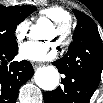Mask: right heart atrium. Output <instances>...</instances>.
<instances>
[{
	"instance_id": "right-heart-atrium-1",
	"label": "right heart atrium",
	"mask_w": 103,
	"mask_h": 103,
	"mask_svg": "<svg viewBox=\"0 0 103 103\" xmlns=\"http://www.w3.org/2000/svg\"><path fill=\"white\" fill-rule=\"evenodd\" d=\"M29 27L30 24L27 20H23L16 25L14 36L17 42H21L26 38L28 35Z\"/></svg>"
}]
</instances>
